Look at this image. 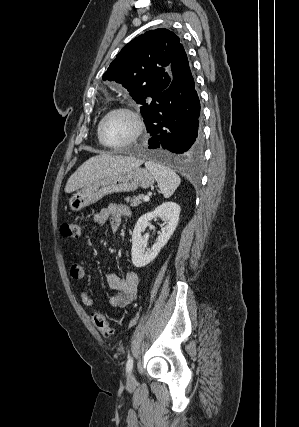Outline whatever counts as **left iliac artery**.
Masks as SVG:
<instances>
[{
	"mask_svg": "<svg viewBox=\"0 0 299 427\" xmlns=\"http://www.w3.org/2000/svg\"><path fill=\"white\" fill-rule=\"evenodd\" d=\"M133 368V358L130 357L126 363V372L130 373L132 371Z\"/></svg>",
	"mask_w": 299,
	"mask_h": 427,
	"instance_id": "44dca946",
	"label": "left iliac artery"
}]
</instances>
